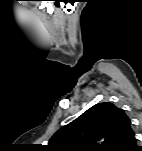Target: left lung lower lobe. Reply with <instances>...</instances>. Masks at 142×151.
<instances>
[{
	"instance_id": "0a47b994",
	"label": "left lung lower lobe",
	"mask_w": 142,
	"mask_h": 151,
	"mask_svg": "<svg viewBox=\"0 0 142 151\" xmlns=\"http://www.w3.org/2000/svg\"><path fill=\"white\" fill-rule=\"evenodd\" d=\"M122 151H142V148L140 149L136 145V138L135 134L131 137V139L127 142L126 146Z\"/></svg>"
}]
</instances>
